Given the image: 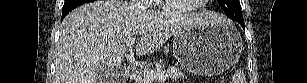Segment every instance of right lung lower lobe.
I'll use <instances>...</instances> for the list:
<instances>
[{"instance_id":"98d812e1","label":"right lung lower lobe","mask_w":307,"mask_h":83,"mask_svg":"<svg viewBox=\"0 0 307 83\" xmlns=\"http://www.w3.org/2000/svg\"><path fill=\"white\" fill-rule=\"evenodd\" d=\"M87 2L89 0H66L62 9V19L75 7Z\"/></svg>"}]
</instances>
